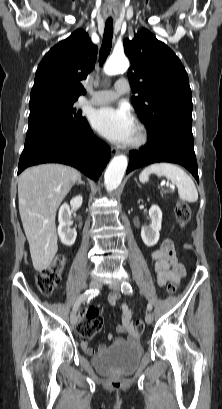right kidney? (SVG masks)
Returning a JSON list of instances; mask_svg holds the SVG:
<instances>
[{
  "instance_id": "right-kidney-1",
  "label": "right kidney",
  "mask_w": 222,
  "mask_h": 409,
  "mask_svg": "<svg viewBox=\"0 0 222 409\" xmlns=\"http://www.w3.org/2000/svg\"><path fill=\"white\" fill-rule=\"evenodd\" d=\"M83 199L82 196H76L70 201V205L73 208H80L82 205ZM70 219L71 211L70 206L64 203L58 214V235L61 239V242L67 246H72L76 240L77 232L74 229H70Z\"/></svg>"
}]
</instances>
